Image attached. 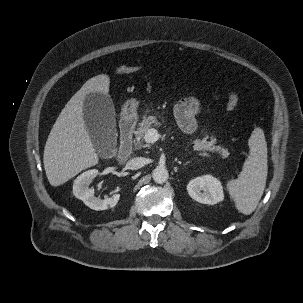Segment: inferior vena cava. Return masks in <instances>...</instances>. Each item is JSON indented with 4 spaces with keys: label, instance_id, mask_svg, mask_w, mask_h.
Returning <instances> with one entry per match:
<instances>
[{
    "label": "inferior vena cava",
    "instance_id": "602c4592",
    "mask_svg": "<svg viewBox=\"0 0 303 303\" xmlns=\"http://www.w3.org/2000/svg\"><path fill=\"white\" fill-rule=\"evenodd\" d=\"M145 164H146V159L145 158L136 157V158L130 159L126 163V168L131 169V170H137V169H140L143 166H145Z\"/></svg>",
    "mask_w": 303,
    "mask_h": 303
}]
</instances>
